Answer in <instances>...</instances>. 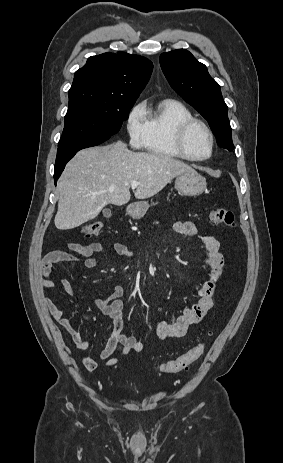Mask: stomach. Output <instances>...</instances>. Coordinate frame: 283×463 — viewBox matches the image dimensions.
Instances as JSON below:
<instances>
[{
  "label": "stomach",
  "instance_id": "1",
  "mask_svg": "<svg viewBox=\"0 0 283 463\" xmlns=\"http://www.w3.org/2000/svg\"><path fill=\"white\" fill-rule=\"evenodd\" d=\"M206 179L195 172H190L177 176L175 188L185 196H198L206 188ZM149 209L148 201H138L129 206L128 212L133 219L142 218Z\"/></svg>",
  "mask_w": 283,
  "mask_h": 463
}]
</instances>
